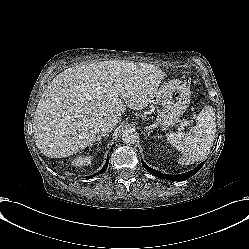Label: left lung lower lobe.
<instances>
[{"label": "left lung lower lobe", "instance_id": "obj_1", "mask_svg": "<svg viewBox=\"0 0 249 249\" xmlns=\"http://www.w3.org/2000/svg\"><path fill=\"white\" fill-rule=\"evenodd\" d=\"M142 162V165L144 166V168L149 172L151 173L152 175L156 176V177H159V178H162V179H170V180H186L188 179L189 177L193 176L205 163L202 162L200 163L194 170L192 171H189L187 173H184V174H180V175H176V176H171V175H166V174H162L160 173L159 171L157 170H154L152 168H150L149 166H147L143 160H141Z\"/></svg>", "mask_w": 249, "mask_h": 249}]
</instances>
